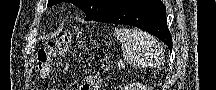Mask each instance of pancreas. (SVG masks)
Here are the masks:
<instances>
[{"label": "pancreas", "instance_id": "pancreas-1", "mask_svg": "<svg viewBox=\"0 0 216 90\" xmlns=\"http://www.w3.org/2000/svg\"><path fill=\"white\" fill-rule=\"evenodd\" d=\"M102 69H109V64H102Z\"/></svg>", "mask_w": 216, "mask_h": 90}]
</instances>
